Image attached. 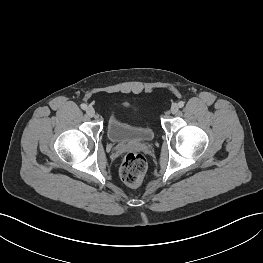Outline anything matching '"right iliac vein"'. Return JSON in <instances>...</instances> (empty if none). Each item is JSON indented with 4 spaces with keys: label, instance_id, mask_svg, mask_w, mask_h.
<instances>
[{
    "label": "right iliac vein",
    "instance_id": "right-iliac-vein-1",
    "mask_svg": "<svg viewBox=\"0 0 263 263\" xmlns=\"http://www.w3.org/2000/svg\"><path fill=\"white\" fill-rule=\"evenodd\" d=\"M86 113H87V115H88L89 117H94V115H95V110H94L93 107L89 106V107H87V109H86Z\"/></svg>",
    "mask_w": 263,
    "mask_h": 263
}]
</instances>
